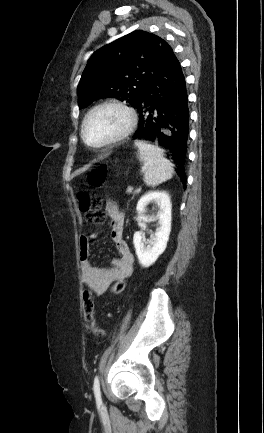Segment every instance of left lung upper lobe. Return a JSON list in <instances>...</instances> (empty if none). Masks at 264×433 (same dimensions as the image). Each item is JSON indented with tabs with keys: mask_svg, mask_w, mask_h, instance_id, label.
Instances as JSON below:
<instances>
[{
	"mask_svg": "<svg viewBox=\"0 0 264 433\" xmlns=\"http://www.w3.org/2000/svg\"><path fill=\"white\" fill-rule=\"evenodd\" d=\"M172 48L162 38L133 31L93 53L78 85V105L112 97L134 106L165 65Z\"/></svg>",
	"mask_w": 264,
	"mask_h": 433,
	"instance_id": "left-lung-upper-lobe-1",
	"label": "left lung upper lobe"
}]
</instances>
